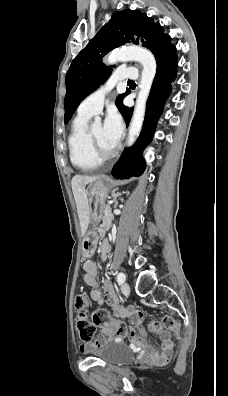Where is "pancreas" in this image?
I'll use <instances>...</instances> for the list:
<instances>
[{
  "mask_svg": "<svg viewBox=\"0 0 228 396\" xmlns=\"http://www.w3.org/2000/svg\"><path fill=\"white\" fill-rule=\"evenodd\" d=\"M106 212L111 213L112 209L109 207L108 209H106ZM112 219H113L112 215H106L105 219L102 220V223H101V225L99 226V229H98V232L101 234L100 236L103 237L104 234L107 232V230L111 226V220ZM102 237L100 238L101 240L103 239Z\"/></svg>",
  "mask_w": 228,
  "mask_h": 396,
  "instance_id": "cf45deb5",
  "label": "pancreas"
}]
</instances>
